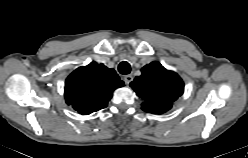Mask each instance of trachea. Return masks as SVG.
Segmentation results:
<instances>
[{
    "instance_id": "1",
    "label": "trachea",
    "mask_w": 248,
    "mask_h": 158,
    "mask_svg": "<svg viewBox=\"0 0 248 158\" xmlns=\"http://www.w3.org/2000/svg\"><path fill=\"white\" fill-rule=\"evenodd\" d=\"M118 70L121 74L124 75L129 74L131 71L130 64L126 61H123L119 64Z\"/></svg>"
}]
</instances>
